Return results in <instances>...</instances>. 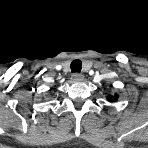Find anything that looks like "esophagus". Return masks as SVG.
<instances>
[{
	"label": "esophagus",
	"mask_w": 148,
	"mask_h": 148,
	"mask_svg": "<svg viewBox=\"0 0 148 148\" xmlns=\"http://www.w3.org/2000/svg\"><path fill=\"white\" fill-rule=\"evenodd\" d=\"M72 79H73V81H75V82H81V81L84 80V76H83L82 74H79V73H74V74L72 75Z\"/></svg>",
	"instance_id": "1"
}]
</instances>
